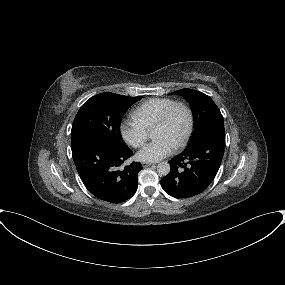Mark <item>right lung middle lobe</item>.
I'll return each instance as SVG.
<instances>
[{
  "mask_svg": "<svg viewBox=\"0 0 285 285\" xmlns=\"http://www.w3.org/2000/svg\"><path fill=\"white\" fill-rule=\"evenodd\" d=\"M142 97L101 93L88 99L72 124L71 138L78 134L97 137L118 149L127 148L120 133L125 112Z\"/></svg>",
  "mask_w": 285,
  "mask_h": 285,
  "instance_id": "obj_1",
  "label": "right lung middle lobe"
}]
</instances>
